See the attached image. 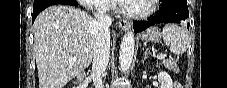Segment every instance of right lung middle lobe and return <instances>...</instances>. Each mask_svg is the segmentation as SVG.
Instances as JSON below:
<instances>
[{
    "instance_id": "1",
    "label": "right lung middle lobe",
    "mask_w": 227,
    "mask_h": 88,
    "mask_svg": "<svg viewBox=\"0 0 227 88\" xmlns=\"http://www.w3.org/2000/svg\"><path fill=\"white\" fill-rule=\"evenodd\" d=\"M64 3L65 4H70V5H73V6H77L78 5L76 0H64Z\"/></svg>"
}]
</instances>
